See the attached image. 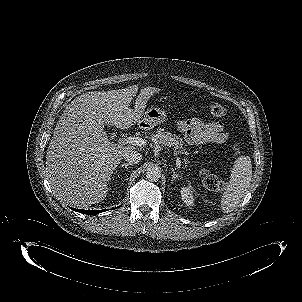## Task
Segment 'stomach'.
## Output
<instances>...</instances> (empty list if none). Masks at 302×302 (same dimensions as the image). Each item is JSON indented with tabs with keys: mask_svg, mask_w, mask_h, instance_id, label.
Segmentation results:
<instances>
[{
	"mask_svg": "<svg viewBox=\"0 0 302 302\" xmlns=\"http://www.w3.org/2000/svg\"><path fill=\"white\" fill-rule=\"evenodd\" d=\"M166 112L164 109L152 107L145 111L140 121V126L144 129H152L166 120Z\"/></svg>",
	"mask_w": 302,
	"mask_h": 302,
	"instance_id": "1",
	"label": "stomach"
}]
</instances>
